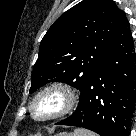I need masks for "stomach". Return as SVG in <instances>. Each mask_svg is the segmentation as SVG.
<instances>
[{
	"instance_id": "obj_1",
	"label": "stomach",
	"mask_w": 136,
	"mask_h": 136,
	"mask_svg": "<svg viewBox=\"0 0 136 136\" xmlns=\"http://www.w3.org/2000/svg\"><path fill=\"white\" fill-rule=\"evenodd\" d=\"M56 136H73V135L68 134V133H60V134H58V135H56Z\"/></svg>"
}]
</instances>
